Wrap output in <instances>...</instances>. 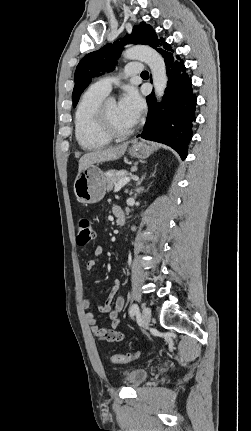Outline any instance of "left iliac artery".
<instances>
[{
    "mask_svg": "<svg viewBox=\"0 0 251 431\" xmlns=\"http://www.w3.org/2000/svg\"><path fill=\"white\" fill-rule=\"evenodd\" d=\"M139 312V307L137 304H132L129 309V315L132 317Z\"/></svg>",
    "mask_w": 251,
    "mask_h": 431,
    "instance_id": "44dca946",
    "label": "left iliac artery"
}]
</instances>
